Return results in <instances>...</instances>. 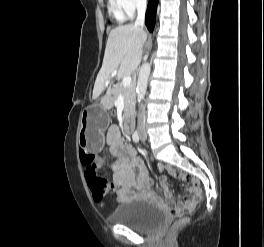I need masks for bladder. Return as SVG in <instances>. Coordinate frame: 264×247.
<instances>
[{"instance_id":"31cf9c89","label":"bladder","mask_w":264,"mask_h":247,"mask_svg":"<svg viewBox=\"0 0 264 247\" xmlns=\"http://www.w3.org/2000/svg\"><path fill=\"white\" fill-rule=\"evenodd\" d=\"M110 219L135 231L149 233L164 225L166 212L150 202L134 200L116 207Z\"/></svg>"}]
</instances>
